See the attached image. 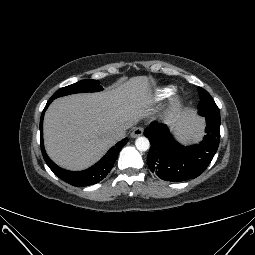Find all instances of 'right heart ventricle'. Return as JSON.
Here are the masks:
<instances>
[{
  "instance_id": "obj_1",
  "label": "right heart ventricle",
  "mask_w": 255,
  "mask_h": 255,
  "mask_svg": "<svg viewBox=\"0 0 255 255\" xmlns=\"http://www.w3.org/2000/svg\"><path fill=\"white\" fill-rule=\"evenodd\" d=\"M172 93H173V89H171V88H164V89L159 91L158 97L161 98V99L167 98V97L171 96Z\"/></svg>"
}]
</instances>
